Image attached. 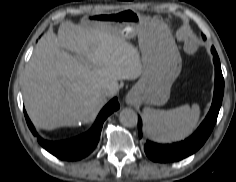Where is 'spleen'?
Wrapping results in <instances>:
<instances>
[{
  "label": "spleen",
  "instance_id": "1",
  "mask_svg": "<svg viewBox=\"0 0 236 182\" xmlns=\"http://www.w3.org/2000/svg\"><path fill=\"white\" fill-rule=\"evenodd\" d=\"M200 107L188 104L170 110L145 108L143 119L148 135L156 141L170 142L182 140L196 128Z\"/></svg>",
  "mask_w": 236,
  "mask_h": 182
}]
</instances>
